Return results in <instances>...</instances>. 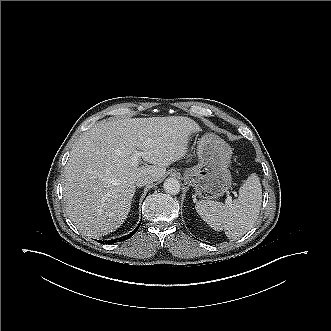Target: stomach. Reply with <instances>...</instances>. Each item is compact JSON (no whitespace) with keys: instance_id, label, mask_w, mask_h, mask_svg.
<instances>
[{"instance_id":"stomach-1","label":"stomach","mask_w":331,"mask_h":331,"mask_svg":"<svg viewBox=\"0 0 331 331\" xmlns=\"http://www.w3.org/2000/svg\"><path fill=\"white\" fill-rule=\"evenodd\" d=\"M199 162L184 172L185 182L194 187L195 195L213 200L222 196L231 187V172L228 169L232 150L221 138L212 133L203 135L197 146Z\"/></svg>"}]
</instances>
